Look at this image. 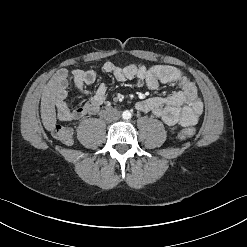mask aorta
Masks as SVG:
<instances>
[{
    "label": "aorta",
    "instance_id": "1",
    "mask_svg": "<svg viewBox=\"0 0 247 247\" xmlns=\"http://www.w3.org/2000/svg\"><path fill=\"white\" fill-rule=\"evenodd\" d=\"M122 118H123L124 120L130 119V118H131V112L128 111V110L124 111V112L122 113Z\"/></svg>",
    "mask_w": 247,
    "mask_h": 247
}]
</instances>
